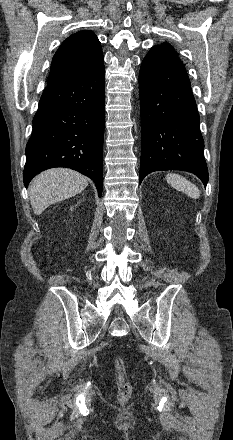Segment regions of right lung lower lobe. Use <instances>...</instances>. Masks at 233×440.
Wrapping results in <instances>:
<instances>
[{
    "label": "right lung lower lobe",
    "instance_id": "right-lung-lower-lobe-1",
    "mask_svg": "<svg viewBox=\"0 0 233 440\" xmlns=\"http://www.w3.org/2000/svg\"><path fill=\"white\" fill-rule=\"evenodd\" d=\"M105 68L87 77L47 85L26 146L25 187L41 171L67 167L91 178L102 194Z\"/></svg>",
    "mask_w": 233,
    "mask_h": 440
}]
</instances>
